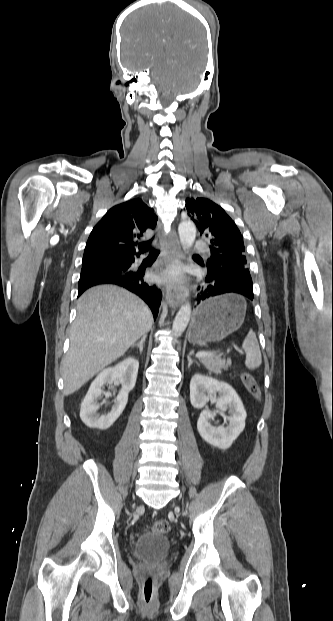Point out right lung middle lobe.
Masks as SVG:
<instances>
[{
  "instance_id": "right-lung-middle-lobe-1",
  "label": "right lung middle lobe",
  "mask_w": 333,
  "mask_h": 621,
  "mask_svg": "<svg viewBox=\"0 0 333 621\" xmlns=\"http://www.w3.org/2000/svg\"><path fill=\"white\" fill-rule=\"evenodd\" d=\"M106 259H111V260H118V258H106ZM95 260H102V259H83L82 264L87 263V262H91V261H95Z\"/></svg>"
}]
</instances>
